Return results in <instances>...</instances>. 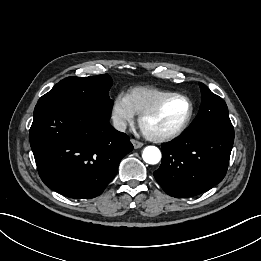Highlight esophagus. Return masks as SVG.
<instances>
[{"instance_id": "esophagus-1", "label": "esophagus", "mask_w": 261, "mask_h": 261, "mask_svg": "<svg viewBox=\"0 0 261 261\" xmlns=\"http://www.w3.org/2000/svg\"><path fill=\"white\" fill-rule=\"evenodd\" d=\"M131 143L133 144L135 149L141 148L143 146L142 142L135 139H131Z\"/></svg>"}]
</instances>
